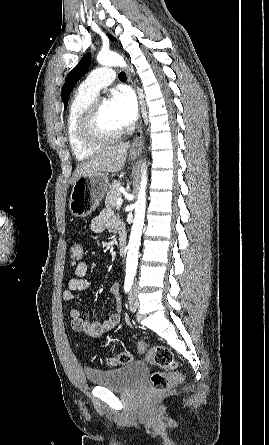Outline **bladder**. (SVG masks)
I'll return each mask as SVG.
<instances>
[{"label":"bladder","mask_w":269,"mask_h":445,"mask_svg":"<svg viewBox=\"0 0 269 445\" xmlns=\"http://www.w3.org/2000/svg\"><path fill=\"white\" fill-rule=\"evenodd\" d=\"M143 361H135L116 369L85 368L86 381L96 387L112 391H125L133 387L147 373Z\"/></svg>","instance_id":"1"}]
</instances>
